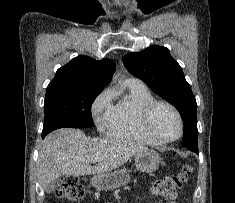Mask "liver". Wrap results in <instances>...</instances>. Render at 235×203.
<instances>
[{
  "instance_id": "liver-1",
  "label": "liver",
  "mask_w": 235,
  "mask_h": 203,
  "mask_svg": "<svg viewBox=\"0 0 235 203\" xmlns=\"http://www.w3.org/2000/svg\"><path fill=\"white\" fill-rule=\"evenodd\" d=\"M146 149L127 140L87 137L79 129H58L42 142L37 162L38 179L46 190L51 182L63 175H96L112 171ZM95 159L98 164L91 166Z\"/></svg>"
}]
</instances>
